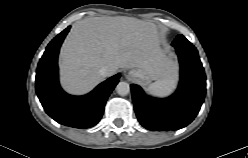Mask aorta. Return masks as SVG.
I'll list each match as a JSON object with an SVG mask.
<instances>
[{
    "label": "aorta",
    "mask_w": 248,
    "mask_h": 158,
    "mask_svg": "<svg viewBox=\"0 0 248 158\" xmlns=\"http://www.w3.org/2000/svg\"><path fill=\"white\" fill-rule=\"evenodd\" d=\"M116 91L119 95L125 96L130 92V85L127 82H119L116 86Z\"/></svg>",
    "instance_id": "1"
}]
</instances>
